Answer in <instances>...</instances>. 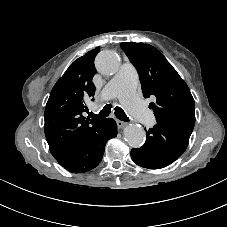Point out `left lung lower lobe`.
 Masks as SVG:
<instances>
[{
    "label": "left lung lower lobe",
    "instance_id": "left-lung-lower-lobe-1",
    "mask_svg": "<svg viewBox=\"0 0 227 227\" xmlns=\"http://www.w3.org/2000/svg\"><path fill=\"white\" fill-rule=\"evenodd\" d=\"M145 144L131 150L132 160L148 169H160L172 164L186 150L190 136L157 123L146 131Z\"/></svg>",
    "mask_w": 227,
    "mask_h": 227
}]
</instances>
